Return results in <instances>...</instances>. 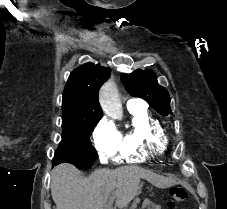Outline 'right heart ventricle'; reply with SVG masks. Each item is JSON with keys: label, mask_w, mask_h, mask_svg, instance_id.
<instances>
[{"label": "right heart ventricle", "mask_w": 227, "mask_h": 209, "mask_svg": "<svg viewBox=\"0 0 227 209\" xmlns=\"http://www.w3.org/2000/svg\"><path fill=\"white\" fill-rule=\"evenodd\" d=\"M130 123L127 131L120 133V141L114 154V164L145 162L162 155L168 148L163 138V127L147 110L127 104Z\"/></svg>", "instance_id": "obj_1"}]
</instances>
